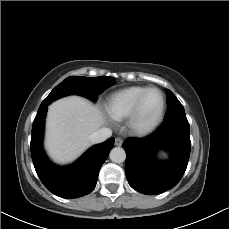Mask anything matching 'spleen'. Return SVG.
I'll list each match as a JSON object with an SVG mask.
<instances>
[{"label":"spleen","instance_id":"obj_1","mask_svg":"<svg viewBox=\"0 0 229 229\" xmlns=\"http://www.w3.org/2000/svg\"><path fill=\"white\" fill-rule=\"evenodd\" d=\"M161 157H166V154L164 152H160Z\"/></svg>","mask_w":229,"mask_h":229}]
</instances>
